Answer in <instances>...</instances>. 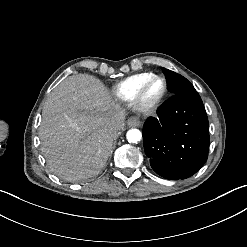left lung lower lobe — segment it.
<instances>
[{"label":"left lung lower lobe","mask_w":247,"mask_h":247,"mask_svg":"<svg viewBox=\"0 0 247 247\" xmlns=\"http://www.w3.org/2000/svg\"><path fill=\"white\" fill-rule=\"evenodd\" d=\"M143 126V143L152 169L170 179H186L206 162L209 123L197 92L175 94Z\"/></svg>","instance_id":"1"}]
</instances>
